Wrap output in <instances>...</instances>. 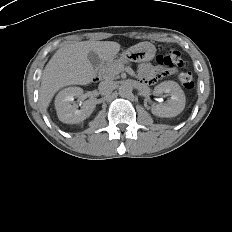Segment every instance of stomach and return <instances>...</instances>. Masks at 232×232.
<instances>
[{
	"instance_id": "0dacf381",
	"label": "stomach",
	"mask_w": 232,
	"mask_h": 232,
	"mask_svg": "<svg viewBox=\"0 0 232 232\" xmlns=\"http://www.w3.org/2000/svg\"><path fill=\"white\" fill-rule=\"evenodd\" d=\"M156 53V48L153 44L145 42L143 45L135 49H128L122 54V58L130 61H150L154 58Z\"/></svg>"
}]
</instances>
